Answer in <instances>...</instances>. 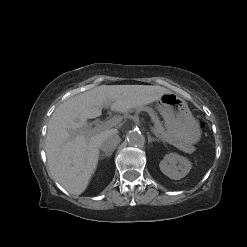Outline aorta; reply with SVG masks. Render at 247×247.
Wrapping results in <instances>:
<instances>
[{
    "mask_svg": "<svg viewBox=\"0 0 247 247\" xmlns=\"http://www.w3.org/2000/svg\"><path fill=\"white\" fill-rule=\"evenodd\" d=\"M127 141L131 147H141L145 143V138L141 132L131 131L127 135Z\"/></svg>",
    "mask_w": 247,
    "mask_h": 247,
    "instance_id": "762f6f07",
    "label": "aorta"
}]
</instances>
